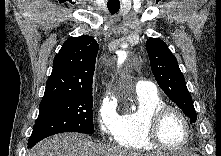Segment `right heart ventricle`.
Instances as JSON below:
<instances>
[{
  "instance_id": "e07e8e85",
  "label": "right heart ventricle",
  "mask_w": 221,
  "mask_h": 156,
  "mask_svg": "<svg viewBox=\"0 0 221 156\" xmlns=\"http://www.w3.org/2000/svg\"><path fill=\"white\" fill-rule=\"evenodd\" d=\"M135 111L119 115L115 142L124 148L139 151L156 149L147 139L146 127L150 115L162 105L164 100L156 92H137Z\"/></svg>"
}]
</instances>
